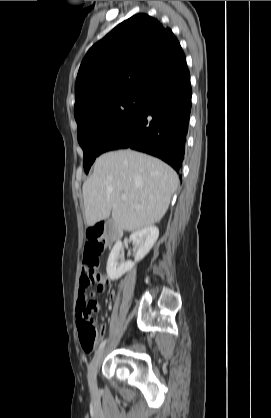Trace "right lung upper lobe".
<instances>
[{
    "label": "right lung upper lobe",
    "mask_w": 271,
    "mask_h": 418,
    "mask_svg": "<svg viewBox=\"0 0 271 418\" xmlns=\"http://www.w3.org/2000/svg\"><path fill=\"white\" fill-rule=\"evenodd\" d=\"M185 64L171 29L153 17L136 14L87 52L76 79L74 114L124 93L150 98Z\"/></svg>",
    "instance_id": "obj_1"
}]
</instances>
